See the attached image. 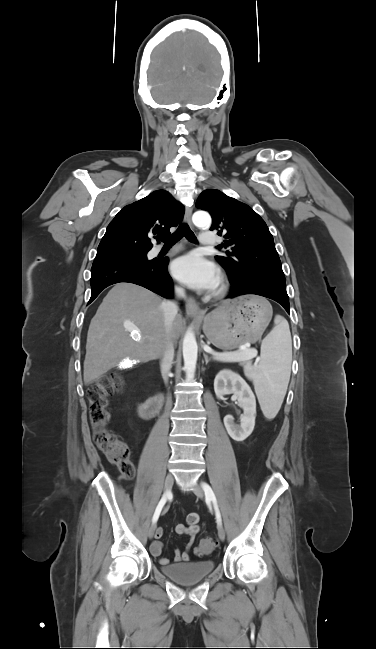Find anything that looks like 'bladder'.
Masks as SVG:
<instances>
[{"instance_id": "1", "label": "bladder", "mask_w": 376, "mask_h": 649, "mask_svg": "<svg viewBox=\"0 0 376 649\" xmlns=\"http://www.w3.org/2000/svg\"><path fill=\"white\" fill-rule=\"evenodd\" d=\"M215 568L212 560L168 564L161 567V572L168 578L183 585H192L204 580Z\"/></svg>"}]
</instances>
